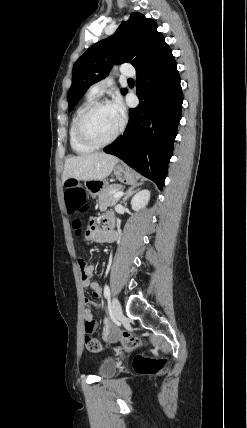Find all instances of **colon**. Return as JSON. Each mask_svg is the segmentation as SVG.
<instances>
[{
    "mask_svg": "<svg viewBox=\"0 0 247 428\" xmlns=\"http://www.w3.org/2000/svg\"><path fill=\"white\" fill-rule=\"evenodd\" d=\"M65 202L66 216L71 217V224L75 230L77 237H81L87 234L91 226L94 224L93 217H85L86 215V204H85V192L82 185L76 180H68L65 183V195L63 197ZM84 261L80 260L79 264H83ZM80 305H93L98 309V313H103L101 304L94 298L93 300H80ZM98 323L92 318L87 317L84 320L83 329L86 332L85 346L91 352H99L102 349L100 341L90 335L95 333ZM122 343L127 349H134L140 345L139 338L131 335L130 333H123ZM163 360H147L139 356L135 360V368L137 371L142 373H155L162 365Z\"/></svg>",
    "mask_w": 247,
    "mask_h": 428,
    "instance_id": "obj_1",
    "label": "colon"
}]
</instances>
